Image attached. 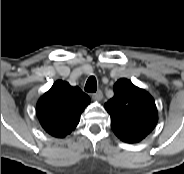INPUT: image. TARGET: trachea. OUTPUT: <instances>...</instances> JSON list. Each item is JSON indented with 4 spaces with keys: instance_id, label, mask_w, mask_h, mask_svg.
Returning <instances> with one entry per match:
<instances>
[{
    "instance_id": "trachea-1",
    "label": "trachea",
    "mask_w": 184,
    "mask_h": 174,
    "mask_svg": "<svg viewBox=\"0 0 184 174\" xmlns=\"http://www.w3.org/2000/svg\"><path fill=\"white\" fill-rule=\"evenodd\" d=\"M97 90V81L94 76H91L88 78L86 85H85V91L87 92H96Z\"/></svg>"
}]
</instances>
